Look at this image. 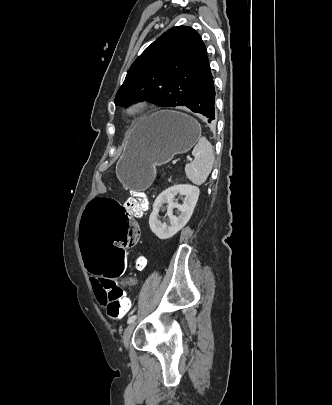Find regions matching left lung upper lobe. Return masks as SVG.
Listing matches in <instances>:
<instances>
[{
  "instance_id": "5c2ea615",
  "label": "left lung upper lobe",
  "mask_w": 332,
  "mask_h": 405,
  "mask_svg": "<svg viewBox=\"0 0 332 405\" xmlns=\"http://www.w3.org/2000/svg\"><path fill=\"white\" fill-rule=\"evenodd\" d=\"M208 63L200 35L187 26L173 27L133 62L115 104L148 98L161 107L188 106Z\"/></svg>"
}]
</instances>
